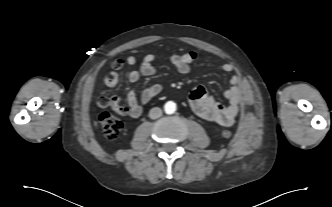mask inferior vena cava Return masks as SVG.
I'll list each match as a JSON object with an SVG mask.
<instances>
[{"label": "inferior vena cava", "mask_w": 332, "mask_h": 207, "mask_svg": "<svg viewBox=\"0 0 332 207\" xmlns=\"http://www.w3.org/2000/svg\"><path fill=\"white\" fill-rule=\"evenodd\" d=\"M162 116V110L159 107H154L149 112V117L151 119H157Z\"/></svg>", "instance_id": "1"}]
</instances>
